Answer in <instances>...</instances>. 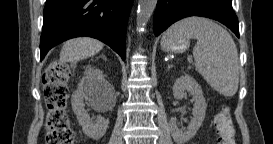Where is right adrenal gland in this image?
I'll list each match as a JSON object with an SVG mask.
<instances>
[{
  "label": "right adrenal gland",
  "instance_id": "1",
  "mask_svg": "<svg viewBox=\"0 0 273 144\" xmlns=\"http://www.w3.org/2000/svg\"><path fill=\"white\" fill-rule=\"evenodd\" d=\"M100 57L103 58L104 60H107V58L103 54H101Z\"/></svg>",
  "mask_w": 273,
  "mask_h": 144
}]
</instances>
